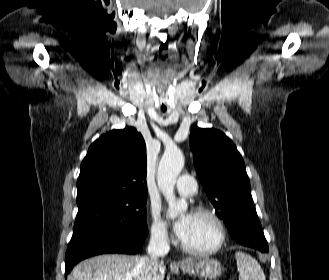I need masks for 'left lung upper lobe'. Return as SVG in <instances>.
Returning a JSON list of instances; mask_svg holds the SVG:
<instances>
[{
	"mask_svg": "<svg viewBox=\"0 0 329 280\" xmlns=\"http://www.w3.org/2000/svg\"><path fill=\"white\" fill-rule=\"evenodd\" d=\"M189 142L199 179L218 217L229 232L247 224L254 203L245 164L234 143L219 130L197 126Z\"/></svg>",
	"mask_w": 329,
	"mask_h": 280,
	"instance_id": "left-lung-upper-lobe-1",
	"label": "left lung upper lobe"
}]
</instances>
